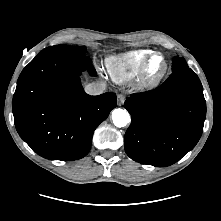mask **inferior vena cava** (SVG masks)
Listing matches in <instances>:
<instances>
[{
	"mask_svg": "<svg viewBox=\"0 0 221 221\" xmlns=\"http://www.w3.org/2000/svg\"><path fill=\"white\" fill-rule=\"evenodd\" d=\"M106 89L105 82L90 83L85 86V92L89 95H100Z\"/></svg>",
	"mask_w": 221,
	"mask_h": 221,
	"instance_id": "obj_1",
	"label": "inferior vena cava"
}]
</instances>
